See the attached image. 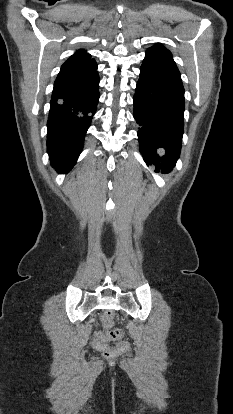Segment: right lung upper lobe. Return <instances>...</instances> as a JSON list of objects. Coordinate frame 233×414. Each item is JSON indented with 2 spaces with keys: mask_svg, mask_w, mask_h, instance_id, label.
Returning a JSON list of instances; mask_svg holds the SVG:
<instances>
[{
  "mask_svg": "<svg viewBox=\"0 0 233 414\" xmlns=\"http://www.w3.org/2000/svg\"><path fill=\"white\" fill-rule=\"evenodd\" d=\"M97 66L94 59L90 54L84 50L77 51L73 54L61 67V72L78 73L88 71Z\"/></svg>",
  "mask_w": 233,
  "mask_h": 414,
  "instance_id": "obj_1",
  "label": "right lung upper lobe"
}]
</instances>
